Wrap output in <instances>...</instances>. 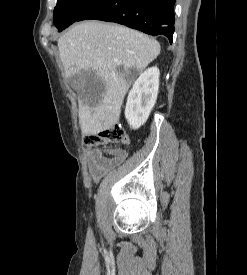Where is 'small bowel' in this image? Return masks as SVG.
I'll return each instance as SVG.
<instances>
[{
  "instance_id": "1",
  "label": "small bowel",
  "mask_w": 247,
  "mask_h": 275,
  "mask_svg": "<svg viewBox=\"0 0 247 275\" xmlns=\"http://www.w3.org/2000/svg\"><path fill=\"white\" fill-rule=\"evenodd\" d=\"M127 157L123 149H92L86 154V164L93 182L97 183L109 171L121 165Z\"/></svg>"
}]
</instances>
